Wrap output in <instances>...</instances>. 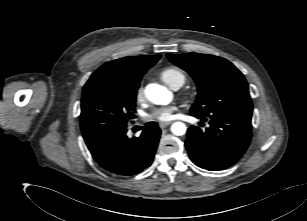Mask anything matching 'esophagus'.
<instances>
[{
	"label": "esophagus",
	"mask_w": 307,
	"mask_h": 221,
	"mask_svg": "<svg viewBox=\"0 0 307 221\" xmlns=\"http://www.w3.org/2000/svg\"><path fill=\"white\" fill-rule=\"evenodd\" d=\"M171 124V122H163V123H160L159 124V127L161 128V129H164V128H166L168 125H170Z\"/></svg>",
	"instance_id": "1"
}]
</instances>
